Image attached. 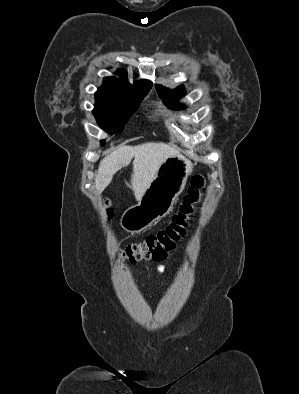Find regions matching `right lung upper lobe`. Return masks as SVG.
<instances>
[{
  "label": "right lung upper lobe",
  "instance_id": "obj_1",
  "mask_svg": "<svg viewBox=\"0 0 299 394\" xmlns=\"http://www.w3.org/2000/svg\"><path fill=\"white\" fill-rule=\"evenodd\" d=\"M122 75L120 79L113 77H106L103 80V85L98 89L95 95H107L116 92H130L134 94H147L151 89L152 83L148 80H140L134 82L133 85L125 80L123 70L117 71Z\"/></svg>",
  "mask_w": 299,
  "mask_h": 394
}]
</instances>
